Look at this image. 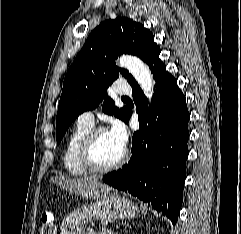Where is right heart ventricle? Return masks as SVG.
Returning a JSON list of instances; mask_svg holds the SVG:
<instances>
[{"mask_svg": "<svg viewBox=\"0 0 241 234\" xmlns=\"http://www.w3.org/2000/svg\"><path fill=\"white\" fill-rule=\"evenodd\" d=\"M93 128L77 121L71 132L69 133L63 153V164L66 171L72 176H86L89 171L83 166L80 159V148L86 134Z\"/></svg>", "mask_w": 241, "mask_h": 234, "instance_id": "right-heart-ventricle-1", "label": "right heart ventricle"}]
</instances>
